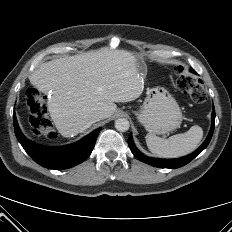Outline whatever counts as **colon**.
I'll return each mask as SVG.
<instances>
[{
    "label": "colon",
    "mask_w": 232,
    "mask_h": 232,
    "mask_svg": "<svg viewBox=\"0 0 232 232\" xmlns=\"http://www.w3.org/2000/svg\"><path fill=\"white\" fill-rule=\"evenodd\" d=\"M177 88L188 95L194 102L203 103L207 99L204 85L199 79L190 75L183 65L174 67ZM26 104L30 112V128L35 135H43L49 139L56 138L47 116V105L44 96L36 89L29 88L25 94Z\"/></svg>",
    "instance_id": "colon-1"
}]
</instances>
